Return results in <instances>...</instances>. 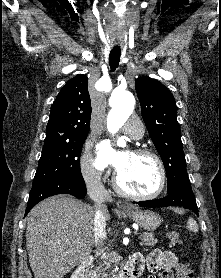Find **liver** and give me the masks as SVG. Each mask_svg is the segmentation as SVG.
<instances>
[{
  "instance_id": "6515ba94",
  "label": "liver",
  "mask_w": 221,
  "mask_h": 278,
  "mask_svg": "<svg viewBox=\"0 0 221 278\" xmlns=\"http://www.w3.org/2000/svg\"><path fill=\"white\" fill-rule=\"evenodd\" d=\"M96 206L68 195L50 197L28 215L26 244L35 278H63L91 254ZM104 216L110 220L105 207Z\"/></svg>"
}]
</instances>
